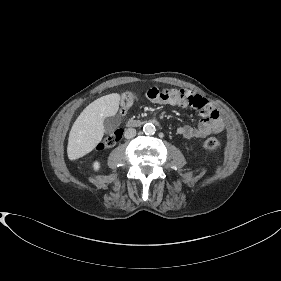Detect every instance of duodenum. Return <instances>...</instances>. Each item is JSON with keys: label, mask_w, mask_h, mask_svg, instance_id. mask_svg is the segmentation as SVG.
Returning a JSON list of instances; mask_svg holds the SVG:
<instances>
[{"label": "duodenum", "mask_w": 281, "mask_h": 281, "mask_svg": "<svg viewBox=\"0 0 281 281\" xmlns=\"http://www.w3.org/2000/svg\"><path fill=\"white\" fill-rule=\"evenodd\" d=\"M152 122L156 123L157 120L156 118H152L151 119ZM145 123V121L143 120H139V119H130L127 121L126 123V127L127 128H134V127H140Z\"/></svg>", "instance_id": "duodenum-1"}]
</instances>
